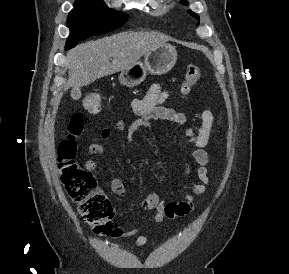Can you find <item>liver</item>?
I'll list each match as a JSON object with an SVG mask.
<instances>
[{"label":"liver","mask_w":289,"mask_h":274,"mask_svg":"<svg viewBox=\"0 0 289 274\" xmlns=\"http://www.w3.org/2000/svg\"><path fill=\"white\" fill-rule=\"evenodd\" d=\"M165 42L164 37L154 33L123 32L79 45L67 54V87L80 88L123 71Z\"/></svg>","instance_id":"obj_1"}]
</instances>
